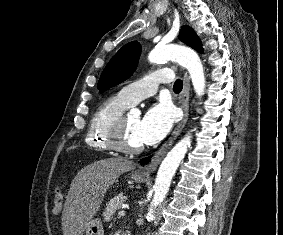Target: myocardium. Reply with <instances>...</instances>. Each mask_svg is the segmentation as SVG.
<instances>
[{
  "label": "myocardium",
  "mask_w": 283,
  "mask_h": 235,
  "mask_svg": "<svg viewBox=\"0 0 283 235\" xmlns=\"http://www.w3.org/2000/svg\"><path fill=\"white\" fill-rule=\"evenodd\" d=\"M126 116L121 115L112 125L109 137L114 150L128 155L139 154L143 151V144L139 146H130L126 141Z\"/></svg>",
  "instance_id": "f54148a6"
}]
</instances>
